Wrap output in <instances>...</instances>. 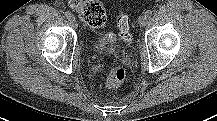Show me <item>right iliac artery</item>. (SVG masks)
<instances>
[{"label":"right iliac artery","mask_w":217,"mask_h":121,"mask_svg":"<svg viewBox=\"0 0 217 121\" xmlns=\"http://www.w3.org/2000/svg\"><path fill=\"white\" fill-rule=\"evenodd\" d=\"M65 16L68 20L74 19V15L72 13H70L69 11L65 12Z\"/></svg>","instance_id":"right-iliac-artery-1"}]
</instances>
